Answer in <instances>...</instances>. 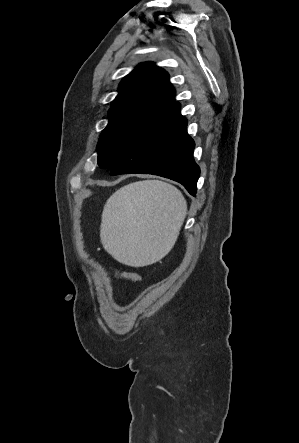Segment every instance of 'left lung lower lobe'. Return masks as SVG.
Segmentation results:
<instances>
[{
    "instance_id": "0a47b994",
    "label": "left lung lower lobe",
    "mask_w": 299,
    "mask_h": 443,
    "mask_svg": "<svg viewBox=\"0 0 299 443\" xmlns=\"http://www.w3.org/2000/svg\"><path fill=\"white\" fill-rule=\"evenodd\" d=\"M176 102L112 166L110 175L143 173L166 177L196 194L200 169L193 159L194 141Z\"/></svg>"
}]
</instances>
